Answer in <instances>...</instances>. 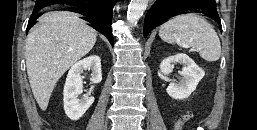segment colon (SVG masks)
<instances>
[{
  "label": "colon",
  "instance_id": "5ec220e1",
  "mask_svg": "<svg viewBox=\"0 0 257 130\" xmlns=\"http://www.w3.org/2000/svg\"><path fill=\"white\" fill-rule=\"evenodd\" d=\"M192 118L191 113H186L177 118L173 125V130H183L185 124Z\"/></svg>",
  "mask_w": 257,
  "mask_h": 130
}]
</instances>
